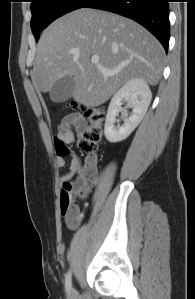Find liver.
<instances>
[{
  "mask_svg": "<svg viewBox=\"0 0 195 299\" xmlns=\"http://www.w3.org/2000/svg\"><path fill=\"white\" fill-rule=\"evenodd\" d=\"M164 55L159 41L135 21L107 11L80 8L44 30L31 79L37 91L46 93L57 80L72 77L74 100L93 108L105 103L131 79L141 78L156 85ZM94 56L112 75L91 62Z\"/></svg>",
  "mask_w": 195,
  "mask_h": 299,
  "instance_id": "liver-1",
  "label": "liver"
}]
</instances>
